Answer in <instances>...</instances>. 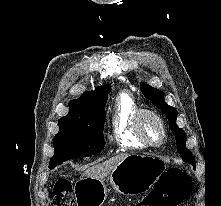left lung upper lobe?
<instances>
[{
    "label": "left lung upper lobe",
    "mask_w": 221,
    "mask_h": 206,
    "mask_svg": "<svg viewBox=\"0 0 221 206\" xmlns=\"http://www.w3.org/2000/svg\"><path fill=\"white\" fill-rule=\"evenodd\" d=\"M141 91L143 95L152 102V104H154L156 107H158L162 112H164L167 115L170 129L176 138L178 152L180 153L182 159L185 162L190 163L195 168L196 166L195 159L191 151H189L185 146L186 134L183 131V129L179 128L176 124V119H177L176 109L169 106L165 102L162 91L143 83L141 84Z\"/></svg>",
    "instance_id": "5c2ea615"
}]
</instances>
